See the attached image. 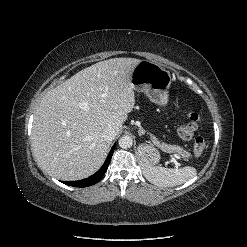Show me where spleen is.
I'll use <instances>...</instances> for the list:
<instances>
[{
    "label": "spleen",
    "instance_id": "obj_1",
    "mask_svg": "<svg viewBox=\"0 0 247 247\" xmlns=\"http://www.w3.org/2000/svg\"><path fill=\"white\" fill-rule=\"evenodd\" d=\"M145 177L155 185L161 187H173L181 185L196 176L194 167L165 168L151 165H143Z\"/></svg>",
    "mask_w": 247,
    "mask_h": 247
}]
</instances>
